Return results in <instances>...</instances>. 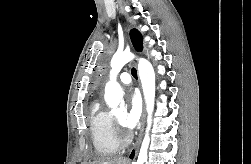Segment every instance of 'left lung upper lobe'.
<instances>
[{"label":"left lung upper lobe","instance_id":"1","mask_svg":"<svg viewBox=\"0 0 251 164\" xmlns=\"http://www.w3.org/2000/svg\"><path fill=\"white\" fill-rule=\"evenodd\" d=\"M130 38H131L134 48L137 51H142L143 39H142L141 34L136 29H133L130 31Z\"/></svg>","mask_w":251,"mask_h":164}]
</instances>
